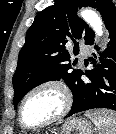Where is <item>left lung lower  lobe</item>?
Instances as JSON below:
<instances>
[{"label":"left lung lower lobe","mask_w":116,"mask_h":134,"mask_svg":"<svg viewBox=\"0 0 116 134\" xmlns=\"http://www.w3.org/2000/svg\"><path fill=\"white\" fill-rule=\"evenodd\" d=\"M104 22L109 30L107 49L100 55V65L92 71L81 72L73 93V104L68 116L95 108H108L116 111V8L106 15ZM94 38L89 45H93ZM96 49L97 46H95ZM86 75L91 83H85L81 76Z\"/></svg>","instance_id":"obj_1"}]
</instances>
